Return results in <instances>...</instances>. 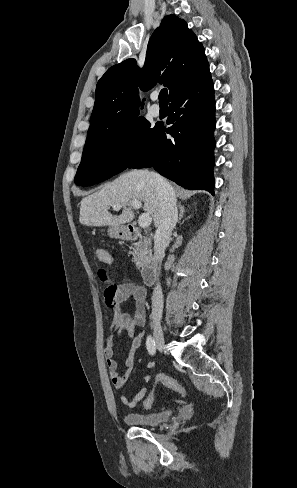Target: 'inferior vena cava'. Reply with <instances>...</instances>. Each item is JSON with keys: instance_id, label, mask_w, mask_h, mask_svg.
<instances>
[{"instance_id": "obj_1", "label": "inferior vena cava", "mask_w": 297, "mask_h": 488, "mask_svg": "<svg viewBox=\"0 0 297 488\" xmlns=\"http://www.w3.org/2000/svg\"><path fill=\"white\" fill-rule=\"evenodd\" d=\"M161 200V215L154 235L155 259L159 263L165 256V249L170 235L178 220L176 197L171 185L160 175L151 172ZM152 316L161 318L163 312V294L160 283L156 284L152 294Z\"/></svg>"}]
</instances>
